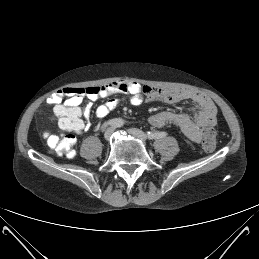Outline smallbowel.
<instances>
[{"instance_id":"obj_1","label":"small bowel","mask_w":259,"mask_h":259,"mask_svg":"<svg viewBox=\"0 0 259 259\" xmlns=\"http://www.w3.org/2000/svg\"><path fill=\"white\" fill-rule=\"evenodd\" d=\"M115 94L128 97L133 106L154 101H163L168 104L184 100L193 101L198 105V111L194 118L183 113L161 111L150 116L149 123L157 128L172 124L178 127L186 138L195 143L204 140L207 130L216 123V106L206 95L174 87L153 88L131 80H118L109 84L85 88H63L52 93L47 98V103L53 105L54 112L63 119H73L75 125L71 131L79 134L90 127L88 119L91 115V103ZM64 98L66 99L63 101ZM84 99H87L88 103L82 106ZM120 102L119 98L107 99L105 103L96 108V116L98 118L106 117ZM82 116L86 121L82 119ZM49 137L50 134L46 133L45 138L48 140Z\"/></svg>"}]
</instances>
